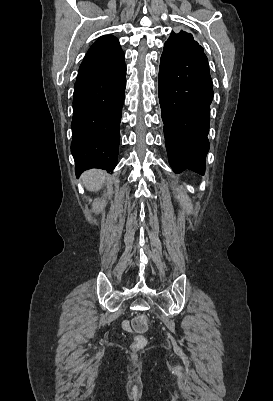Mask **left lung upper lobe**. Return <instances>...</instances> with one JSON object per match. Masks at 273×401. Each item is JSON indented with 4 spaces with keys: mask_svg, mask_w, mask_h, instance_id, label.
Segmentation results:
<instances>
[{
    "mask_svg": "<svg viewBox=\"0 0 273 401\" xmlns=\"http://www.w3.org/2000/svg\"><path fill=\"white\" fill-rule=\"evenodd\" d=\"M189 38H193L192 34H189V33L181 30L179 33L172 32L167 41H180V40H186Z\"/></svg>",
    "mask_w": 273,
    "mask_h": 401,
    "instance_id": "obj_1",
    "label": "left lung upper lobe"
}]
</instances>
